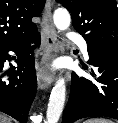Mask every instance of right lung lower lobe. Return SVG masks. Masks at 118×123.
I'll list each match as a JSON object with an SVG mask.
<instances>
[{
  "mask_svg": "<svg viewBox=\"0 0 118 123\" xmlns=\"http://www.w3.org/2000/svg\"><path fill=\"white\" fill-rule=\"evenodd\" d=\"M40 34L37 32L28 40L0 48V111L12 116L21 123L27 122L28 112L37 89V78L34 67V57L31 54V43L40 44ZM9 51L16 52L18 59L16 67L4 71V62L11 60ZM9 76L4 80V76Z\"/></svg>",
  "mask_w": 118,
  "mask_h": 123,
  "instance_id": "obj_1",
  "label": "right lung lower lobe"
}]
</instances>
